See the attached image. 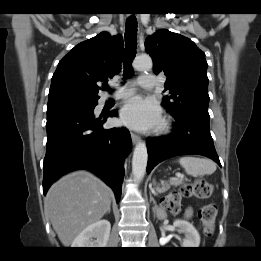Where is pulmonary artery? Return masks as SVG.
<instances>
[{
	"label": "pulmonary artery",
	"mask_w": 261,
	"mask_h": 261,
	"mask_svg": "<svg viewBox=\"0 0 261 261\" xmlns=\"http://www.w3.org/2000/svg\"><path fill=\"white\" fill-rule=\"evenodd\" d=\"M137 83L146 89H153L156 86V78L153 75H140L137 79ZM132 94V90L128 87V85L120 86L117 90L107 96L106 99H119L123 97H128Z\"/></svg>",
	"instance_id": "1"
}]
</instances>
